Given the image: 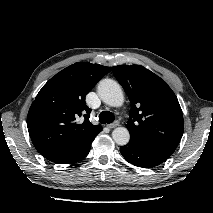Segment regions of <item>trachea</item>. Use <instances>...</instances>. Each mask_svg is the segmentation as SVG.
I'll return each instance as SVG.
<instances>
[{
  "label": "trachea",
  "mask_w": 213,
  "mask_h": 213,
  "mask_svg": "<svg viewBox=\"0 0 213 213\" xmlns=\"http://www.w3.org/2000/svg\"><path fill=\"white\" fill-rule=\"evenodd\" d=\"M115 120V117L113 115V113H111L110 111H102L100 114H99V121L100 123L102 124H105V123H112L113 121Z\"/></svg>",
  "instance_id": "obj_1"
}]
</instances>
